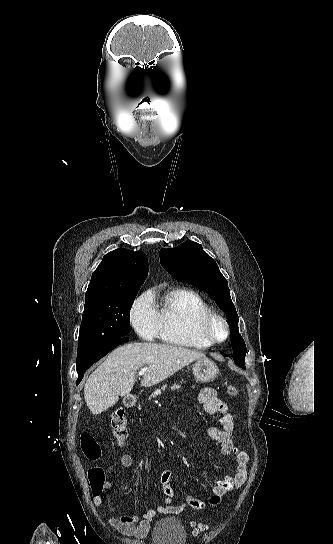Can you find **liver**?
I'll return each instance as SVG.
<instances>
[{
    "mask_svg": "<svg viewBox=\"0 0 333 544\" xmlns=\"http://www.w3.org/2000/svg\"><path fill=\"white\" fill-rule=\"evenodd\" d=\"M205 358L202 352L157 343H129L113 350L89 376L84 387L85 402L92 414L114 406L119 396L128 395L136 372L146 368L141 386H154L186 365Z\"/></svg>",
    "mask_w": 333,
    "mask_h": 544,
    "instance_id": "obj_1",
    "label": "liver"
}]
</instances>
